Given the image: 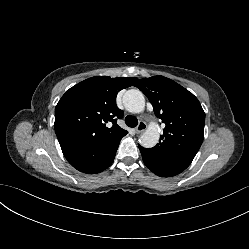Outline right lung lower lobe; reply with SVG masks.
I'll use <instances>...</instances> for the list:
<instances>
[{"instance_id":"obj_1","label":"right lung lower lobe","mask_w":249,"mask_h":249,"mask_svg":"<svg viewBox=\"0 0 249 249\" xmlns=\"http://www.w3.org/2000/svg\"><path fill=\"white\" fill-rule=\"evenodd\" d=\"M122 137L99 146L67 148L62 152L77 170L88 174L99 173L112 164Z\"/></svg>"}]
</instances>
